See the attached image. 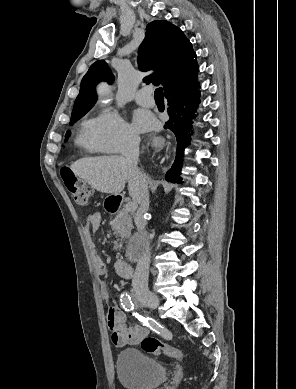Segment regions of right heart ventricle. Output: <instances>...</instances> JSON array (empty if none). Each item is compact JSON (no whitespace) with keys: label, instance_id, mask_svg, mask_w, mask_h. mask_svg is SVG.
Here are the masks:
<instances>
[{"label":"right heart ventricle","instance_id":"1","mask_svg":"<svg viewBox=\"0 0 296 389\" xmlns=\"http://www.w3.org/2000/svg\"><path fill=\"white\" fill-rule=\"evenodd\" d=\"M76 142L78 145L84 147L91 152H101L96 135V121L95 118L85 119L81 122Z\"/></svg>","mask_w":296,"mask_h":389}]
</instances>
